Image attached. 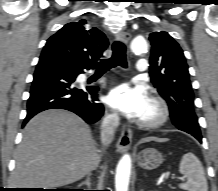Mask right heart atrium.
Returning a JSON list of instances; mask_svg holds the SVG:
<instances>
[{"instance_id":"obj_1","label":"right heart atrium","mask_w":218,"mask_h":191,"mask_svg":"<svg viewBox=\"0 0 218 191\" xmlns=\"http://www.w3.org/2000/svg\"><path fill=\"white\" fill-rule=\"evenodd\" d=\"M108 119H109L110 121H115V120H116L115 114H109Z\"/></svg>"}]
</instances>
